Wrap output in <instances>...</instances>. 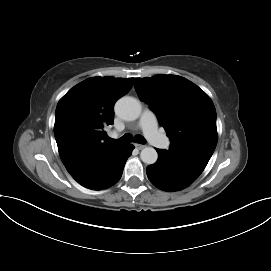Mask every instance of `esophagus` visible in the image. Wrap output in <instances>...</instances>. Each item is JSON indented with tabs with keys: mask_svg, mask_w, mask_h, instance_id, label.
<instances>
[{
	"mask_svg": "<svg viewBox=\"0 0 271 271\" xmlns=\"http://www.w3.org/2000/svg\"><path fill=\"white\" fill-rule=\"evenodd\" d=\"M135 145V147L137 148V149H139V150H142L143 148H145V145L144 144H138V143H136V144H134Z\"/></svg>",
	"mask_w": 271,
	"mask_h": 271,
	"instance_id": "1",
	"label": "esophagus"
}]
</instances>
